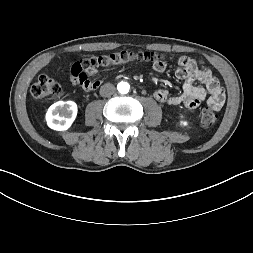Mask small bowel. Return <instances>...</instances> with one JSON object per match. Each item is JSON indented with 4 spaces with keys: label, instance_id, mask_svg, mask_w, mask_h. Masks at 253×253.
I'll return each instance as SVG.
<instances>
[{
    "label": "small bowel",
    "instance_id": "c3829d8e",
    "mask_svg": "<svg viewBox=\"0 0 253 253\" xmlns=\"http://www.w3.org/2000/svg\"><path fill=\"white\" fill-rule=\"evenodd\" d=\"M173 62L170 59L164 61L153 60L149 67L152 71L161 73L165 68L172 67ZM178 69L176 76L184 79L182 93L170 96L164 89H156L154 98L158 102L167 103L169 105H181L184 108H196L199 104L207 100V103L215 110H220L225 101V93L219 81L211 73L210 70L198 67L196 63L188 58L181 57L178 60ZM200 82L204 87L197 86L195 83Z\"/></svg>",
    "mask_w": 253,
    "mask_h": 253
}]
</instances>
